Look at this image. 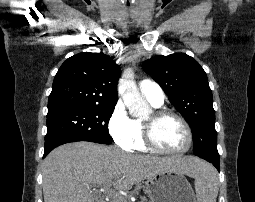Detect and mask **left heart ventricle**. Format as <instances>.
<instances>
[{
	"mask_svg": "<svg viewBox=\"0 0 255 202\" xmlns=\"http://www.w3.org/2000/svg\"><path fill=\"white\" fill-rule=\"evenodd\" d=\"M154 137L158 146L168 151L180 150L187 143V135L183 125L172 117L165 118L157 123L154 129Z\"/></svg>",
	"mask_w": 255,
	"mask_h": 202,
	"instance_id": "obj_1",
	"label": "left heart ventricle"
}]
</instances>
